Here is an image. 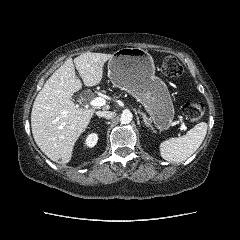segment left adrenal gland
Segmentation results:
<instances>
[{"mask_svg": "<svg viewBox=\"0 0 240 240\" xmlns=\"http://www.w3.org/2000/svg\"><path fill=\"white\" fill-rule=\"evenodd\" d=\"M138 113H139L140 115H142V118H143V121H144L145 125H146L148 128H150L151 130H153V126L151 125V121H150L149 118H147L146 114L143 113V112H141L140 110L138 111Z\"/></svg>", "mask_w": 240, "mask_h": 240, "instance_id": "1", "label": "left adrenal gland"}]
</instances>
